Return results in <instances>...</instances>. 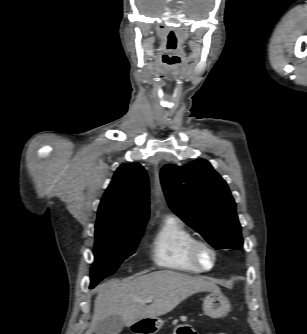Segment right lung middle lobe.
I'll return each mask as SVG.
<instances>
[{"label":"right lung middle lobe","instance_id":"right-lung-middle-lobe-1","mask_svg":"<svg viewBox=\"0 0 307 334\" xmlns=\"http://www.w3.org/2000/svg\"><path fill=\"white\" fill-rule=\"evenodd\" d=\"M144 232V226L108 228L95 231V261L91 268L90 288L113 274L132 255Z\"/></svg>","mask_w":307,"mask_h":334}]
</instances>
